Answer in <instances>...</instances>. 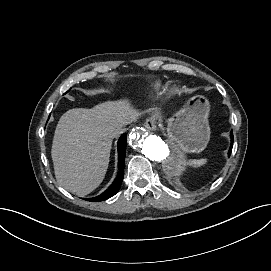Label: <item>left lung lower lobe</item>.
I'll list each match as a JSON object with an SVG mask.
<instances>
[{
  "instance_id": "left-lung-lower-lobe-1",
  "label": "left lung lower lobe",
  "mask_w": 271,
  "mask_h": 271,
  "mask_svg": "<svg viewBox=\"0 0 271 271\" xmlns=\"http://www.w3.org/2000/svg\"><path fill=\"white\" fill-rule=\"evenodd\" d=\"M232 146H233V131H231V147L229 149L228 155L230 156L231 151H232Z\"/></svg>"
}]
</instances>
